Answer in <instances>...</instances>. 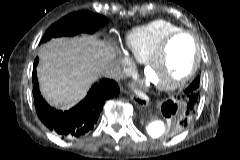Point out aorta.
<instances>
[{
    "instance_id": "obj_1",
    "label": "aorta",
    "mask_w": 240,
    "mask_h": 160,
    "mask_svg": "<svg viewBox=\"0 0 240 160\" xmlns=\"http://www.w3.org/2000/svg\"><path fill=\"white\" fill-rule=\"evenodd\" d=\"M146 130L148 134L153 138H159L167 130L166 123L157 116H150L147 119Z\"/></svg>"
}]
</instances>
